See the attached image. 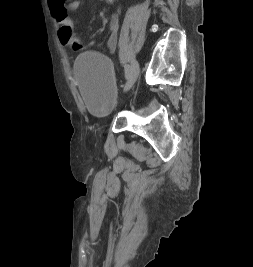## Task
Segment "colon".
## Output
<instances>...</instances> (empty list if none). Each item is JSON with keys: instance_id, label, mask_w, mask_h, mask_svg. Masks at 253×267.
I'll list each match as a JSON object with an SVG mask.
<instances>
[{"instance_id": "colon-1", "label": "colon", "mask_w": 253, "mask_h": 267, "mask_svg": "<svg viewBox=\"0 0 253 267\" xmlns=\"http://www.w3.org/2000/svg\"><path fill=\"white\" fill-rule=\"evenodd\" d=\"M58 39L62 45L69 46L75 51H80L86 47L79 38L74 36L72 27L67 25L60 26L58 30Z\"/></svg>"}]
</instances>
